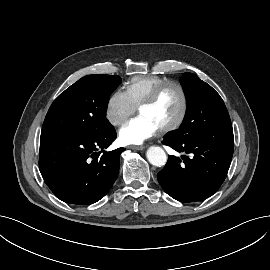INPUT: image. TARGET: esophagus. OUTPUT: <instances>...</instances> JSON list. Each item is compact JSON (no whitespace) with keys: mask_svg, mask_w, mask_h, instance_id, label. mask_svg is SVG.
Wrapping results in <instances>:
<instances>
[{"mask_svg":"<svg viewBox=\"0 0 270 270\" xmlns=\"http://www.w3.org/2000/svg\"><path fill=\"white\" fill-rule=\"evenodd\" d=\"M128 148L133 149V150H138L141 151L144 149V146H135V145H131Z\"/></svg>","mask_w":270,"mask_h":270,"instance_id":"34e87169","label":"esophagus"}]
</instances>
